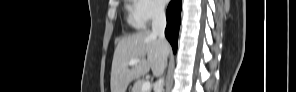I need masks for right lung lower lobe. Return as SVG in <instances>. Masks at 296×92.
I'll return each mask as SVG.
<instances>
[{"instance_id":"1","label":"right lung lower lobe","mask_w":296,"mask_h":92,"mask_svg":"<svg viewBox=\"0 0 296 92\" xmlns=\"http://www.w3.org/2000/svg\"><path fill=\"white\" fill-rule=\"evenodd\" d=\"M181 0H172L166 11L167 26L165 36L171 43L174 53L177 50L178 32L180 26Z\"/></svg>"}]
</instances>
